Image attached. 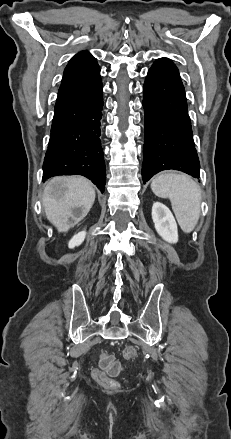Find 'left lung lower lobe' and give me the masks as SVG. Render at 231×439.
I'll use <instances>...</instances> for the list:
<instances>
[{
    "mask_svg": "<svg viewBox=\"0 0 231 439\" xmlns=\"http://www.w3.org/2000/svg\"><path fill=\"white\" fill-rule=\"evenodd\" d=\"M143 92V182L168 169L199 178L200 164L192 137L185 90L178 69L170 59L160 58L154 62Z\"/></svg>",
    "mask_w": 231,
    "mask_h": 439,
    "instance_id": "obj_1",
    "label": "left lung lower lobe"
}]
</instances>
